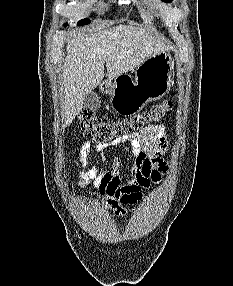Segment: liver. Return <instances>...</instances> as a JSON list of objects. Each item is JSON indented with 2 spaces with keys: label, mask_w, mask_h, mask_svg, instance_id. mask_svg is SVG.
Wrapping results in <instances>:
<instances>
[{
  "label": "liver",
  "mask_w": 233,
  "mask_h": 286,
  "mask_svg": "<svg viewBox=\"0 0 233 286\" xmlns=\"http://www.w3.org/2000/svg\"><path fill=\"white\" fill-rule=\"evenodd\" d=\"M66 50L62 76L64 127L82 110L84 95L103 80L105 64L108 80L112 81L167 48L144 29L118 25L94 34H74Z\"/></svg>",
  "instance_id": "obj_1"
}]
</instances>
